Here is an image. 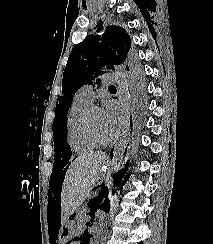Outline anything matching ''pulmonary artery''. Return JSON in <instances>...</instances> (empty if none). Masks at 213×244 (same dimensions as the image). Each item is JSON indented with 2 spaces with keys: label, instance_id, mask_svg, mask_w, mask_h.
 Segmentation results:
<instances>
[{
  "label": "pulmonary artery",
  "instance_id": "pulmonary-artery-1",
  "mask_svg": "<svg viewBox=\"0 0 213 244\" xmlns=\"http://www.w3.org/2000/svg\"><path fill=\"white\" fill-rule=\"evenodd\" d=\"M117 81V77L115 74H104L101 76V83L102 84H109V83H115ZM78 96L92 102L94 99V90L91 85H84L81 87L78 92Z\"/></svg>",
  "mask_w": 213,
  "mask_h": 244
}]
</instances>
